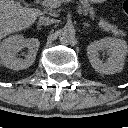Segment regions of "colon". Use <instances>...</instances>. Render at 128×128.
<instances>
[{
	"instance_id": "colon-1",
	"label": "colon",
	"mask_w": 128,
	"mask_h": 128,
	"mask_svg": "<svg viewBox=\"0 0 128 128\" xmlns=\"http://www.w3.org/2000/svg\"><path fill=\"white\" fill-rule=\"evenodd\" d=\"M123 10L125 14L128 16V0H125L123 3Z\"/></svg>"
}]
</instances>
